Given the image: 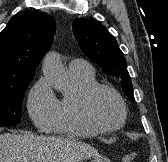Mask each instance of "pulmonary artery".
Wrapping results in <instances>:
<instances>
[{"label": "pulmonary artery", "instance_id": "pulmonary-artery-1", "mask_svg": "<svg viewBox=\"0 0 168 162\" xmlns=\"http://www.w3.org/2000/svg\"><path fill=\"white\" fill-rule=\"evenodd\" d=\"M69 72L72 74L78 75H92L94 74V70L92 66L83 59H73L70 61L69 65Z\"/></svg>", "mask_w": 168, "mask_h": 162}]
</instances>
